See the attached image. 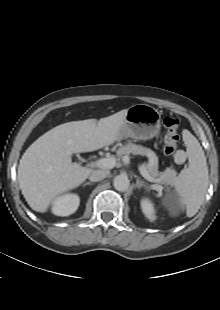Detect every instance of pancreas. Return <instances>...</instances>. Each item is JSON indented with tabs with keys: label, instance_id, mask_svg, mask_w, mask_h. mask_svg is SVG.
I'll return each instance as SVG.
<instances>
[{
	"label": "pancreas",
	"instance_id": "1",
	"mask_svg": "<svg viewBox=\"0 0 220 310\" xmlns=\"http://www.w3.org/2000/svg\"><path fill=\"white\" fill-rule=\"evenodd\" d=\"M130 153L133 155H145L149 158V162L144 165V168L153 178L159 179L158 183L166 186L174 185L177 174L176 171L174 169L167 168L164 172H159L158 157L151 149L140 145H135L133 143H128L117 151L118 156L129 155Z\"/></svg>",
	"mask_w": 220,
	"mask_h": 310
}]
</instances>
